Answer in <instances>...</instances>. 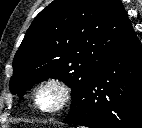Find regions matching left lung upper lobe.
<instances>
[{"label":"left lung upper lobe","instance_id":"5c2ea615","mask_svg":"<svg viewBox=\"0 0 142 128\" xmlns=\"http://www.w3.org/2000/svg\"><path fill=\"white\" fill-rule=\"evenodd\" d=\"M134 35L120 0H54L36 16L15 54L10 91L22 96L57 78L72 88L71 114L109 53Z\"/></svg>","mask_w":142,"mask_h":128}]
</instances>
